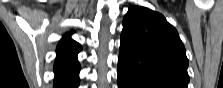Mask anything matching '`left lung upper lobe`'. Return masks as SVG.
<instances>
[{
  "mask_svg": "<svg viewBox=\"0 0 223 88\" xmlns=\"http://www.w3.org/2000/svg\"><path fill=\"white\" fill-rule=\"evenodd\" d=\"M118 65L149 82L188 88V59L178 32L145 7L131 6L123 18Z\"/></svg>",
  "mask_w": 223,
  "mask_h": 88,
  "instance_id": "1",
  "label": "left lung upper lobe"
}]
</instances>
